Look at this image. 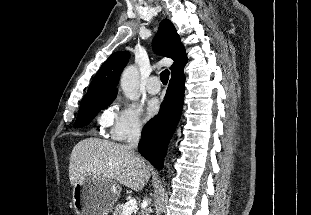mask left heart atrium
Returning <instances> with one entry per match:
<instances>
[{
    "label": "left heart atrium",
    "instance_id": "1",
    "mask_svg": "<svg viewBox=\"0 0 311 215\" xmlns=\"http://www.w3.org/2000/svg\"><path fill=\"white\" fill-rule=\"evenodd\" d=\"M160 109V103L157 99H150L146 105V118L154 117Z\"/></svg>",
    "mask_w": 311,
    "mask_h": 215
}]
</instances>
